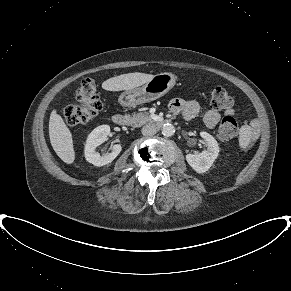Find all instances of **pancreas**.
Here are the masks:
<instances>
[{
    "label": "pancreas",
    "instance_id": "cf45deb5",
    "mask_svg": "<svg viewBox=\"0 0 291 291\" xmlns=\"http://www.w3.org/2000/svg\"><path fill=\"white\" fill-rule=\"evenodd\" d=\"M131 125L134 127H140L148 122H151L152 119L149 116L148 112L142 111L139 113H134L130 119Z\"/></svg>",
    "mask_w": 291,
    "mask_h": 291
}]
</instances>
